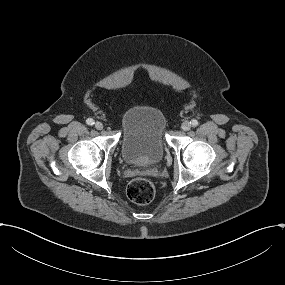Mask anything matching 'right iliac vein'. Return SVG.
I'll return each mask as SVG.
<instances>
[{
	"label": "right iliac vein",
	"mask_w": 285,
	"mask_h": 285,
	"mask_svg": "<svg viewBox=\"0 0 285 285\" xmlns=\"http://www.w3.org/2000/svg\"><path fill=\"white\" fill-rule=\"evenodd\" d=\"M94 126L97 130L103 129V124L101 122H96Z\"/></svg>",
	"instance_id": "1"
}]
</instances>
